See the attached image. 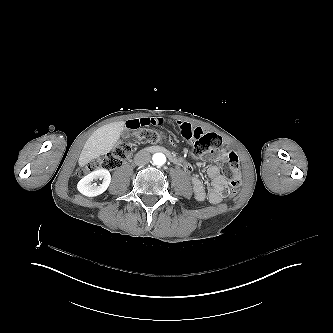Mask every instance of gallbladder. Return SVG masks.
Here are the masks:
<instances>
[{
  "mask_svg": "<svg viewBox=\"0 0 333 333\" xmlns=\"http://www.w3.org/2000/svg\"><path fill=\"white\" fill-rule=\"evenodd\" d=\"M122 138H129L130 136V130L124 128L122 133H121Z\"/></svg>",
  "mask_w": 333,
  "mask_h": 333,
  "instance_id": "1",
  "label": "gallbladder"
}]
</instances>
